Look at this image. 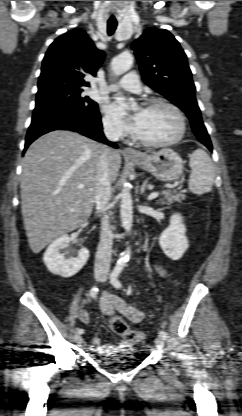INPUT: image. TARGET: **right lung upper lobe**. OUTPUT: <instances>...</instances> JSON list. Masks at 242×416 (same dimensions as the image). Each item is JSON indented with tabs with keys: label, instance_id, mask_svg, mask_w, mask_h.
I'll return each instance as SVG.
<instances>
[{
	"label": "right lung upper lobe",
	"instance_id": "obj_1",
	"mask_svg": "<svg viewBox=\"0 0 242 416\" xmlns=\"http://www.w3.org/2000/svg\"><path fill=\"white\" fill-rule=\"evenodd\" d=\"M104 56V52L98 50L81 29L59 36L43 59L37 96L62 88L83 89L89 86L84 77L96 75Z\"/></svg>",
	"mask_w": 242,
	"mask_h": 416
}]
</instances>
